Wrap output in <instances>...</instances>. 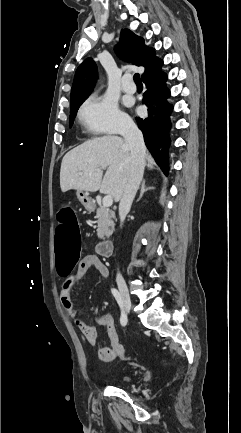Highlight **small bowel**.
<instances>
[{
    "label": "small bowel",
    "instance_id": "1",
    "mask_svg": "<svg viewBox=\"0 0 241 433\" xmlns=\"http://www.w3.org/2000/svg\"><path fill=\"white\" fill-rule=\"evenodd\" d=\"M90 268H94L104 278L109 276V270L101 258L97 254H88L80 261L76 270L65 278L61 289L60 299L67 315L73 319L75 325L83 334L86 341L90 345L94 346L97 341L96 328L79 318L71 297L74 288ZM97 322L99 325L106 328L107 335L110 339V346L100 348L98 350V356L103 362L113 361L116 358L113 345L119 342V335L115 327L114 319L112 315L104 314L98 317Z\"/></svg>",
    "mask_w": 241,
    "mask_h": 433
}]
</instances>
